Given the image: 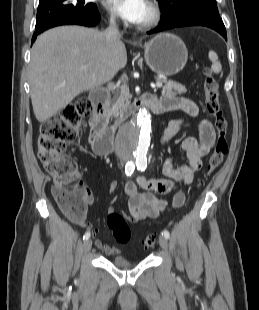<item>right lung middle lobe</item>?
Listing matches in <instances>:
<instances>
[{
  "label": "right lung middle lobe",
  "instance_id": "dd1d6c3e",
  "mask_svg": "<svg viewBox=\"0 0 259 310\" xmlns=\"http://www.w3.org/2000/svg\"><path fill=\"white\" fill-rule=\"evenodd\" d=\"M96 9L95 4L86 0H39L35 28L53 18H81Z\"/></svg>",
  "mask_w": 259,
  "mask_h": 310
}]
</instances>
